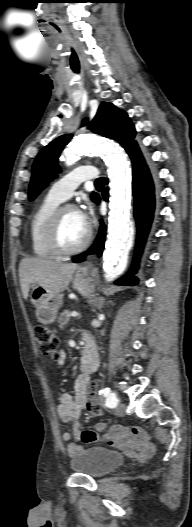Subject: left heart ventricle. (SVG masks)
Segmentation results:
<instances>
[{"mask_svg":"<svg viewBox=\"0 0 192 527\" xmlns=\"http://www.w3.org/2000/svg\"><path fill=\"white\" fill-rule=\"evenodd\" d=\"M87 234V228L81 222L77 211H66L60 226V242L66 248L80 244Z\"/></svg>","mask_w":192,"mask_h":527,"instance_id":"obj_1","label":"left heart ventricle"}]
</instances>
